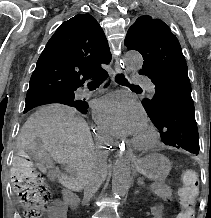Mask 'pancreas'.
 Segmentation results:
<instances>
[{"mask_svg": "<svg viewBox=\"0 0 211 218\" xmlns=\"http://www.w3.org/2000/svg\"><path fill=\"white\" fill-rule=\"evenodd\" d=\"M151 188L154 194L160 196V198H162L164 202H167V200H171L172 190L171 188H169V186H166L165 182H159V184H152Z\"/></svg>", "mask_w": 211, "mask_h": 218, "instance_id": "pancreas-1", "label": "pancreas"}]
</instances>
